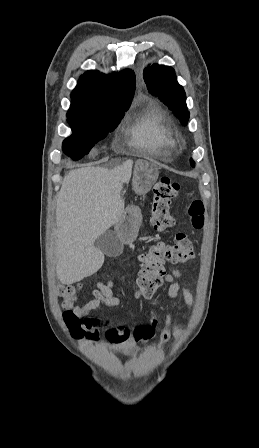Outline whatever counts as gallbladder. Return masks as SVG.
I'll use <instances>...</instances> for the list:
<instances>
[{
    "instance_id": "1",
    "label": "gallbladder",
    "mask_w": 259,
    "mask_h": 448,
    "mask_svg": "<svg viewBox=\"0 0 259 448\" xmlns=\"http://www.w3.org/2000/svg\"><path fill=\"white\" fill-rule=\"evenodd\" d=\"M95 248L100 250L105 256H109V258H116V256L122 254L124 246L118 236H116L115 232L107 230V232L101 234L98 240H96Z\"/></svg>"
}]
</instances>
